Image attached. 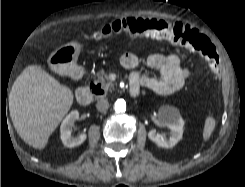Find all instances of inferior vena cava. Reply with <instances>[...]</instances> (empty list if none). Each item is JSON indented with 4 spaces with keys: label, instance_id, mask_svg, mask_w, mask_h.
I'll return each mask as SVG.
<instances>
[{
    "label": "inferior vena cava",
    "instance_id": "1",
    "mask_svg": "<svg viewBox=\"0 0 245 187\" xmlns=\"http://www.w3.org/2000/svg\"><path fill=\"white\" fill-rule=\"evenodd\" d=\"M96 108L100 112H106L107 109L109 108L108 99L102 98V99L98 100V102L96 104Z\"/></svg>",
    "mask_w": 245,
    "mask_h": 187
}]
</instances>
